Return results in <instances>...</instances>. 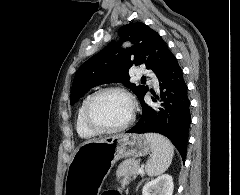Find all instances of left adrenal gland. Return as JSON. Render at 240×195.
<instances>
[{"label":"left adrenal gland","instance_id":"a2214340","mask_svg":"<svg viewBox=\"0 0 240 195\" xmlns=\"http://www.w3.org/2000/svg\"><path fill=\"white\" fill-rule=\"evenodd\" d=\"M143 181H145V179H141V181H139V183H138L136 189H139V187H140V185H142Z\"/></svg>","mask_w":240,"mask_h":195}]
</instances>
